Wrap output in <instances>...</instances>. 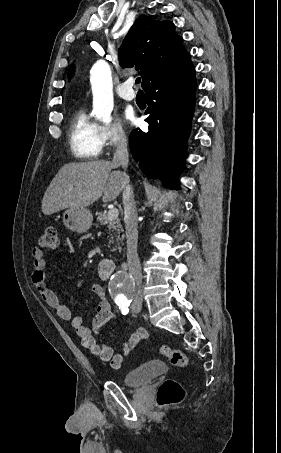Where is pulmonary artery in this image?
I'll return each instance as SVG.
<instances>
[{
	"instance_id": "pulmonary-artery-1",
	"label": "pulmonary artery",
	"mask_w": 281,
	"mask_h": 453,
	"mask_svg": "<svg viewBox=\"0 0 281 453\" xmlns=\"http://www.w3.org/2000/svg\"><path fill=\"white\" fill-rule=\"evenodd\" d=\"M115 91L121 98L126 100H132L136 97L135 91L131 88V80L117 85Z\"/></svg>"
}]
</instances>
